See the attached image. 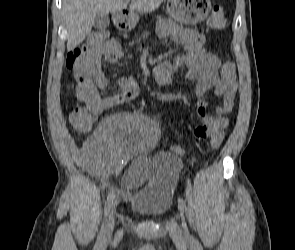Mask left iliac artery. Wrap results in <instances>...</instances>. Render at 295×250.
Segmentation results:
<instances>
[{
	"mask_svg": "<svg viewBox=\"0 0 295 250\" xmlns=\"http://www.w3.org/2000/svg\"><path fill=\"white\" fill-rule=\"evenodd\" d=\"M178 204H179V206H181L185 211L187 210V208H186V203H185V201H184L182 198H179V199H178Z\"/></svg>",
	"mask_w": 295,
	"mask_h": 250,
	"instance_id": "obj_1",
	"label": "left iliac artery"
}]
</instances>
